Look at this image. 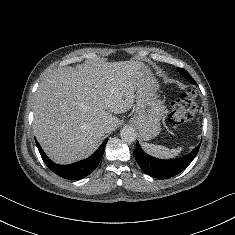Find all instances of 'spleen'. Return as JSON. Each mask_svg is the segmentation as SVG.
Instances as JSON below:
<instances>
[{"label":"spleen","instance_id":"spleen-1","mask_svg":"<svg viewBox=\"0 0 235 235\" xmlns=\"http://www.w3.org/2000/svg\"><path fill=\"white\" fill-rule=\"evenodd\" d=\"M143 148L148 154L158 158H173L181 153V151H183L184 149L183 147H178L170 150L164 146L154 145L150 143H144Z\"/></svg>","mask_w":235,"mask_h":235}]
</instances>
